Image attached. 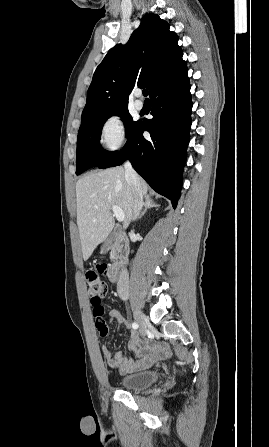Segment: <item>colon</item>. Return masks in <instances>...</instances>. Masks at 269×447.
Wrapping results in <instances>:
<instances>
[{
	"label": "colon",
	"instance_id": "1",
	"mask_svg": "<svg viewBox=\"0 0 269 447\" xmlns=\"http://www.w3.org/2000/svg\"><path fill=\"white\" fill-rule=\"evenodd\" d=\"M99 267H107L105 262H96L94 266H87L85 269V282L88 294L90 296L89 301L92 303L93 313L92 317L96 318V313H102L103 309L101 308L100 300L98 298L103 297L108 292L107 283L101 279L98 275ZM95 330L99 331L98 336L101 339L106 338V323L105 322H96Z\"/></svg>",
	"mask_w": 269,
	"mask_h": 447
}]
</instances>
